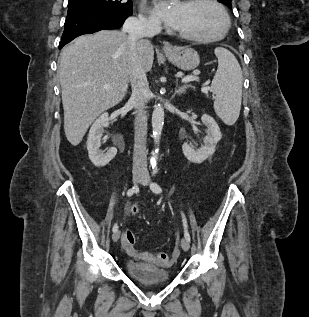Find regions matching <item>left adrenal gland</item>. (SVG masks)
<instances>
[{
  "mask_svg": "<svg viewBox=\"0 0 309 317\" xmlns=\"http://www.w3.org/2000/svg\"><path fill=\"white\" fill-rule=\"evenodd\" d=\"M189 87H192V86H191V85H183V86H181V87H178V88L176 89V93H177L178 95H181V94L184 93V92L186 91V89L189 88Z\"/></svg>",
  "mask_w": 309,
  "mask_h": 317,
  "instance_id": "a2214340",
  "label": "left adrenal gland"
}]
</instances>
